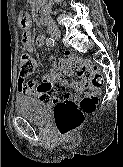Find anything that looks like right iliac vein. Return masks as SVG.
I'll return each mask as SVG.
<instances>
[{"mask_svg": "<svg viewBox=\"0 0 123 167\" xmlns=\"http://www.w3.org/2000/svg\"><path fill=\"white\" fill-rule=\"evenodd\" d=\"M49 32L50 35L55 39L60 38L61 36V32L57 27H52Z\"/></svg>", "mask_w": 123, "mask_h": 167, "instance_id": "63e3f726", "label": "right iliac vein"}]
</instances>
